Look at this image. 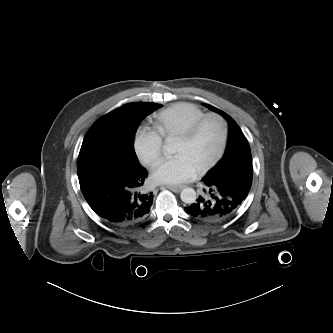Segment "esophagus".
Listing matches in <instances>:
<instances>
[{
	"instance_id": "1",
	"label": "esophagus",
	"mask_w": 333,
	"mask_h": 333,
	"mask_svg": "<svg viewBox=\"0 0 333 333\" xmlns=\"http://www.w3.org/2000/svg\"><path fill=\"white\" fill-rule=\"evenodd\" d=\"M167 188L173 192L178 193L184 188V186L183 185H179V186L168 185Z\"/></svg>"
}]
</instances>
